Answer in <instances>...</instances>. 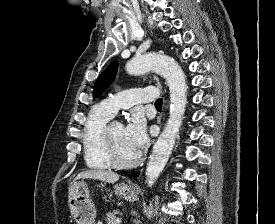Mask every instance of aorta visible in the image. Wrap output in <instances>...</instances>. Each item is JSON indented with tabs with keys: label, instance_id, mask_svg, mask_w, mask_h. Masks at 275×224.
<instances>
[{
	"label": "aorta",
	"instance_id": "aorta-1",
	"mask_svg": "<svg viewBox=\"0 0 275 224\" xmlns=\"http://www.w3.org/2000/svg\"><path fill=\"white\" fill-rule=\"evenodd\" d=\"M126 70L132 75L155 71L166 79L169 86L170 116L153 146L146 168V182L152 186L168 162L182 124L187 103L186 79L183 70L174 59L161 54L136 56L126 64Z\"/></svg>",
	"mask_w": 275,
	"mask_h": 224
}]
</instances>
